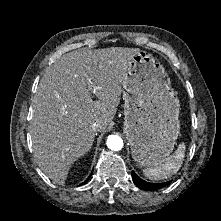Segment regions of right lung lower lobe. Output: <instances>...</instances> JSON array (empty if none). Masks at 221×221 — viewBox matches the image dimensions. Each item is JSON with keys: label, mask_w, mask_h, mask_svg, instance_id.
I'll list each match as a JSON object with an SVG mask.
<instances>
[{"label": "right lung lower lobe", "mask_w": 221, "mask_h": 221, "mask_svg": "<svg viewBox=\"0 0 221 221\" xmlns=\"http://www.w3.org/2000/svg\"><path fill=\"white\" fill-rule=\"evenodd\" d=\"M90 179V176L86 179V181L84 182V183H82V184H85L86 182H88V180Z\"/></svg>", "instance_id": "98d812e1"}]
</instances>
